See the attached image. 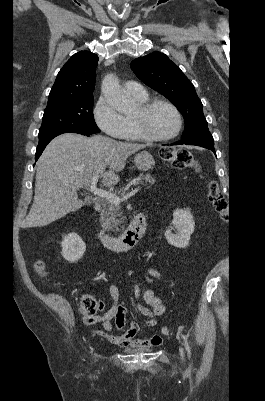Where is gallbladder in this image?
<instances>
[{
	"label": "gallbladder",
	"instance_id": "obj_1",
	"mask_svg": "<svg viewBox=\"0 0 265 401\" xmlns=\"http://www.w3.org/2000/svg\"><path fill=\"white\" fill-rule=\"evenodd\" d=\"M85 203H88L89 205L90 201H88V198H85Z\"/></svg>",
	"mask_w": 265,
	"mask_h": 401
}]
</instances>
